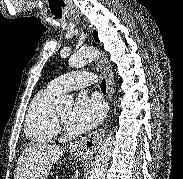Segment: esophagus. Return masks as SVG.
Wrapping results in <instances>:
<instances>
[{"instance_id":"obj_1","label":"esophagus","mask_w":183,"mask_h":179,"mask_svg":"<svg viewBox=\"0 0 183 179\" xmlns=\"http://www.w3.org/2000/svg\"><path fill=\"white\" fill-rule=\"evenodd\" d=\"M96 60H97L98 65L101 67L103 74L106 78L107 99L110 103L111 97L113 94V90H114L113 75H112V72H111L109 66L107 65L104 55L102 53L98 54ZM106 127H107V122L105 123L104 127L99 129L98 131H95V132L89 134L88 136L75 141L72 144V149L79 154L95 153L96 150L99 148V145L101 144V141H102L103 136L106 131Z\"/></svg>"}]
</instances>
